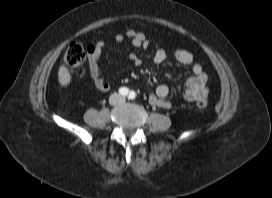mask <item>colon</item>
Masks as SVG:
<instances>
[{
  "label": "colon",
  "instance_id": "5ec220e1",
  "mask_svg": "<svg viewBox=\"0 0 272 198\" xmlns=\"http://www.w3.org/2000/svg\"><path fill=\"white\" fill-rule=\"evenodd\" d=\"M85 49L80 43H71L64 54V63L71 70L75 71L83 67L85 63ZM196 105L199 109H205L208 106L206 98H200L196 101Z\"/></svg>",
  "mask_w": 272,
  "mask_h": 198
}]
</instances>
